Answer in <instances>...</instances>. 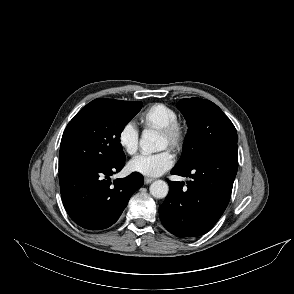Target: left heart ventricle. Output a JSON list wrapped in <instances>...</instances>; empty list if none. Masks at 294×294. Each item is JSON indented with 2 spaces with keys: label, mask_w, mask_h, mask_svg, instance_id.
<instances>
[{
  "label": "left heart ventricle",
  "mask_w": 294,
  "mask_h": 294,
  "mask_svg": "<svg viewBox=\"0 0 294 294\" xmlns=\"http://www.w3.org/2000/svg\"><path fill=\"white\" fill-rule=\"evenodd\" d=\"M168 146V139L163 136L162 134H160V148H166Z\"/></svg>",
  "instance_id": "b2bd125f"
}]
</instances>
